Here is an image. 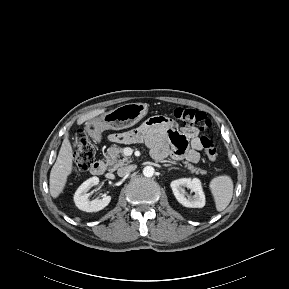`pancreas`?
<instances>
[{
  "label": "pancreas",
  "mask_w": 289,
  "mask_h": 289,
  "mask_svg": "<svg viewBox=\"0 0 289 289\" xmlns=\"http://www.w3.org/2000/svg\"><path fill=\"white\" fill-rule=\"evenodd\" d=\"M123 148L114 144L107 150V155L105 156L106 158V163L109 165L112 170H116L120 166H124L132 162L131 159L123 155ZM123 158L121 159V155ZM185 164V168H187L190 172L196 173V174H202L205 175L207 171L202 170L201 168H197L194 165L190 164L187 161L183 162Z\"/></svg>",
  "instance_id": "obj_1"
}]
</instances>
